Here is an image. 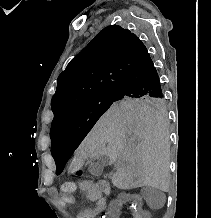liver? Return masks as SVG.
I'll return each instance as SVG.
<instances>
[{"label": "liver", "instance_id": "6515ba94", "mask_svg": "<svg viewBox=\"0 0 211 218\" xmlns=\"http://www.w3.org/2000/svg\"><path fill=\"white\" fill-rule=\"evenodd\" d=\"M99 156H108L111 164L120 160L112 176L119 190L152 186L168 192V132L157 110L113 104L80 144L73 164L79 170L85 158Z\"/></svg>", "mask_w": 211, "mask_h": 218}]
</instances>
